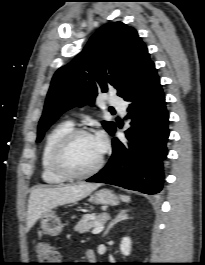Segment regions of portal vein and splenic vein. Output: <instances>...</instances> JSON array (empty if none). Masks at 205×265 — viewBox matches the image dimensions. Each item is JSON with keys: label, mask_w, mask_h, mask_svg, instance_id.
Masks as SVG:
<instances>
[{"label": "portal vein and splenic vein", "mask_w": 205, "mask_h": 265, "mask_svg": "<svg viewBox=\"0 0 205 265\" xmlns=\"http://www.w3.org/2000/svg\"><path fill=\"white\" fill-rule=\"evenodd\" d=\"M104 229L103 225L97 224L92 230V234H99Z\"/></svg>", "instance_id": "1"}]
</instances>
